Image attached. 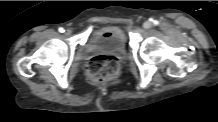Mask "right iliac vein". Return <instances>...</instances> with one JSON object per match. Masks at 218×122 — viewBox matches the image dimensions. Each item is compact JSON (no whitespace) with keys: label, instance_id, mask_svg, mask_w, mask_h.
Here are the masks:
<instances>
[{"label":"right iliac vein","instance_id":"right-iliac-vein-1","mask_svg":"<svg viewBox=\"0 0 218 122\" xmlns=\"http://www.w3.org/2000/svg\"><path fill=\"white\" fill-rule=\"evenodd\" d=\"M70 34H71V30L70 29L65 30V35L69 36Z\"/></svg>","mask_w":218,"mask_h":122}]
</instances>
